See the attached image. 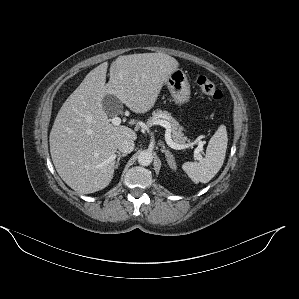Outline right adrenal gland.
<instances>
[{
    "label": "right adrenal gland",
    "mask_w": 299,
    "mask_h": 299,
    "mask_svg": "<svg viewBox=\"0 0 299 299\" xmlns=\"http://www.w3.org/2000/svg\"><path fill=\"white\" fill-rule=\"evenodd\" d=\"M127 154H119L118 157H117V160H116V163H115V166L114 168L117 169L118 166H119V161L122 157H125Z\"/></svg>",
    "instance_id": "2a0ac1e0"
}]
</instances>
